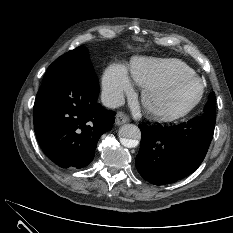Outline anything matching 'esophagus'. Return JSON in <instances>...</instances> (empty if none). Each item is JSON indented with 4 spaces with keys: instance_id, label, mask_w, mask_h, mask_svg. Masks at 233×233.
Returning <instances> with one entry per match:
<instances>
[{
    "instance_id": "obj_1",
    "label": "esophagus",
    "mask_w": 233,
    "mask_h": 233,
    "mask_svg": "<svg viewBox=\"0 0 233 233\" xmlns=\"http://www.w3.org/2000/svg\"><path fill=\"white\" fill-rule=\"evenodd\" d=\"M129 121L127 115L124 112H118L116 114V119H115V123L117 125H122L124 123H127Z\"/></svg>"
}]
</instances>
